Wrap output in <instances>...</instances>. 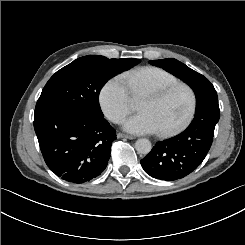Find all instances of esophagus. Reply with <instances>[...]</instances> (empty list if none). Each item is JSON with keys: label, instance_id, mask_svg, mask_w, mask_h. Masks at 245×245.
<instances>
[{"label": "esophagus", "instance_id": "1", "mask_svg": "<svg viewBox=\"0 0 245 245\" xmlns=\"http://www.w3.org/2000/svg\"><path fill=\"white\" fill-rule=\"evenodd\" d=\"M117 137H118V138L135 139L134 136L127 135V134H124V133H118V134H117Z\"/></svg>", "mask_w": 245, "mask_h": 245}]
</instances>
